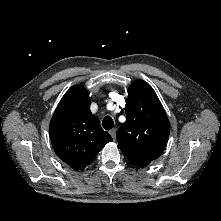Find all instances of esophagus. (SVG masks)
Masks as SVG:
<instances>
[{"mask_svg": "<svg viewBox=\"0 0 221 221\" xmlns=\"http://www.w3.org/2000/svg\"><path fill=\"white\" fill-rule=\"evenodd\" d=\"M109 133L112 136V138L115 140L116 139V129L110 130Z\"/></svg>", "mask_w": 221, "mask_h": 221, "instance_id": "34e87169", "label": "esophagus"}]
</instances>
